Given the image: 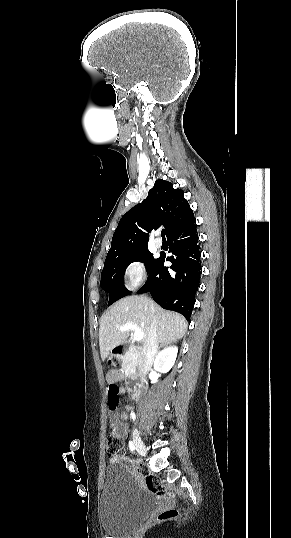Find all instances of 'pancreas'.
<instances>
[{
    "label": "pancreas",
    "instance_id": "obj_1",
    "mask_svg": "<svg viewBox=\"0 0 291 538\" xmlns=\"http://www.w3.org/2000/svg\"><path fill=\"white\" fill-rule=\"evenodd\" d=\"M135 359V354L133 351H128L123 357H122V367L126 368L128 364H131V362ZM136 362H138V359H136Z\"/></svg>",
    "mask_w": 291,
    "mask_h": 538
}]
</instances>
